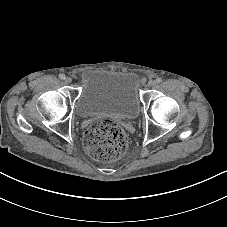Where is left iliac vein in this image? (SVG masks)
I'll return each mask as SVG.
<instances>
[{"label":"left iliac vein","mask_w":227,"mask_h":227,"mask_svg":"<svg viewBox=\"0 0 227 227\" xmlns=\"http://www.w3.org/2000/svg\"><path fill=\"white\" fill-rule=\"evenodd\" d=\"M155 85V81L154 80H150L149 82H148V86L149 87H153Z\"/></svg>","instance_id":"left-iliac-vein-1"}]
</instances>
